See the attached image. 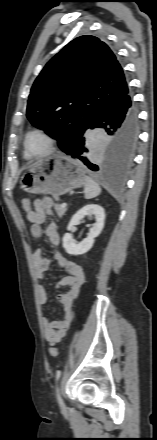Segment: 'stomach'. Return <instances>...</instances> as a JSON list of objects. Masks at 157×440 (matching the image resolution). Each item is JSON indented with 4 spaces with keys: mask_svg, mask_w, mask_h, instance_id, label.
<instances>
[{
    "mask_svg": "<svg viewBox=\"0 0 157 440\" xmlns=\"http://www.w3.org/2000/svg\"><path fill=\"white\" fill-rule=\"evenodd\" d=\"M84 176L85 169L80 162L56 154L32 163L22 175L20 185L28 193L59 197L82 187Z\"/></svg>",
    "mask_w": 157,
    "mask_h": 440,
    "instance_id": "obj_1",
    "label": "stomach"
}]
</instances>
